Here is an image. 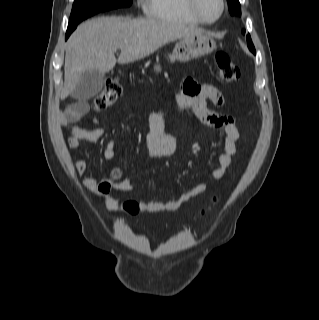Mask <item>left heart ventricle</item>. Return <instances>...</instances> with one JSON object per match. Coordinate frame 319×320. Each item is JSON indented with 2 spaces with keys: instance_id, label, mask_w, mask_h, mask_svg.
I'll list each match as a JSON object with an SVG mask.
<instances>
[{
  "instance_id": "left-heart-ventricle-1",
  "label": "left heart ventricle",
  "mask_w": 319,
  "mask_h": 320,
  "mask_svg": "<svg viewBox=\"0 0 319 320\" xmlns=\"http://www.w3.org/2000/svg\"><path fill=\"white\" fill-rule=\"evenodd\" d=\"M198 9L207 19H214L220 11L219 0H198Z\"/></svg>"
}]
</instances>
